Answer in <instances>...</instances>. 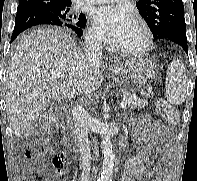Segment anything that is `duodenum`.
Here are the masks:
<instances>
[{
	"label": "duodenum",
	"instance_id": "obj_1",
	"mask_svg": "<svg viewBox=\"0 0 197 181\" xmlns=\"http://www.w3.org/2000/svg\"><path fill=\"white\" fill-rule=\"evenodd\" d=\"M70 141V139H68V142ZM119 148L122 149L124 147V145L126 144V139L125 138H121L119 139Z\"/></svg>",
	"mask_w": 197,
	"mask_h": 181
}]
</instances>
